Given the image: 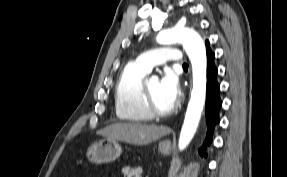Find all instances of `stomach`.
Masks as SVG:
<instances>
[{
	"label": "stomach",
	"instance_id": "0dacf381",
	"mask_svg": "<svg viewBox=\"0 0 287 177\" xmlns=\"http://www.w3.org/2000/svg\"><path fill=\"white\" fill-rule=\"evenodd\" d=\"M159 152L167 155L171 151V142L161 141L158 146ZM122 152L120 144L116 140L104 139L92 144L87 150V158L90 162L100 164L116 160Z\"/></svg>",
	"mask_w": 287,
	"mask_h": 177
}]
</instances>
